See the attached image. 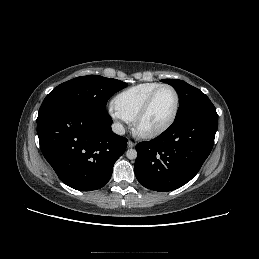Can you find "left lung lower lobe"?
<instances>
[{"label": "left lung lower lobe", "mask_w": 259, "mask_h": 259, "mask_svg": "<svg viewBox=\"0 0 259 259\" xmlns=\"http://www.w3.org/2000/svg\"><path fill=\"white\" fill-rule=\"evenodd\" d=\"M218 115L190 114L150 142L136 145L134 171L144 187L160 192L189 182L209 156L217 131Z\"/></svg>", "instance_id": "left-lung-lower-lobe-1"}]
</instances>
